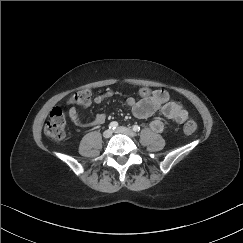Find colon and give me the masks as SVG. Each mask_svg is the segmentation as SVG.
I'll use <instances>...</instances> for the list:
<instances>
[{
    "mask_svg": "<svg viewBox=\"0 0 243 243\" xmlns=\"http://www.w3.org/2000/svg\"><path fill=\"white\" fill-rule=\"evenodd\" d=\"M91 100V92L87 88H82L74 93L68 100V104L72 105H88ZM183 130L186 134H192L197 130V123L193 120L185 122ZM45 134L53 140L60 141L66 136V118L61 108H54L49 120L44 126Z\"/></svg>",
    "mask_w": 243,
    "mask_h": 243,
    "instance_id": "1",
    "label": "colon"
}]
</instances>
